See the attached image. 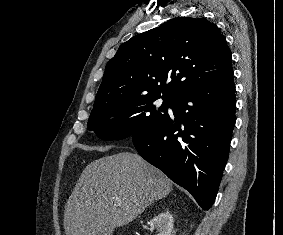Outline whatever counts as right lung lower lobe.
Returning a JSON list of instances; mask_svg holds the SVG:
<instances>
[{
	"instance_id": "right-lung-lower-lobe-1",
	"label": "right lung lower lobe",
	"mask_w": 283,
	"mask_h": 235,
	"mask_svg": "<svg viewBox=\"0 0 283 235\" xmlns=\"http://www.w3.org/2000/svg\"><path fill=\"white\" fill-rule=\"evenodd\" d=\"M170 107L175 119L168 116L132 141L141 157L208 210L218 192L236 122L233 72L180 92Z\"/></svg>"
}]
</instances>
